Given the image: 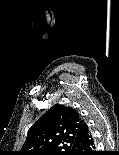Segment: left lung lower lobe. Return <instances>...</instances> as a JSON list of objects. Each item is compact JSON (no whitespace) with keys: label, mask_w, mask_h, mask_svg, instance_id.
I'll use <instances>...</instances> for the list:
<instances>
[{"label":"left lung lower lobe","mask_w":119,"mask_h":155,"mask_svg":"<svg viewBox=\"0 0 119 155\" xmlns=\"http://www.w3.org/2000/svg\"><path fill=\"white\" fill-rule=\"evenodd\" d=\"M76 143L78 151L75 155H104L96 150V143L92 131L84 121Z\"/></svg>","instance_id":"left-lung-lower-lobe-1"}]
</instances>
